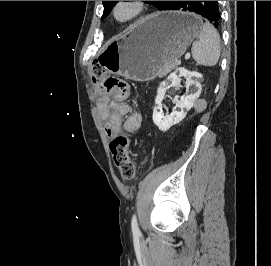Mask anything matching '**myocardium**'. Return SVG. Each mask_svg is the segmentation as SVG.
<instances>
[{
    "mask_svg": "<svg viewBox=\"0 0 271 266\" xmlns=\"http://www.w3.org/2000/svg\"><path fill=\"white\" fill-rule=\"evenodd\" d=\"M124 7L129 8V12L127 15L121 16L120 10ZM145 10V1H116L111 9V18L117 24L127 25L139 20Z\"/></svg>",
    "mask_w": 271,
    "mask_h": 266,
    "instance_id": "f54148a6",
    "label": "myocardium"
}]
</instances>
